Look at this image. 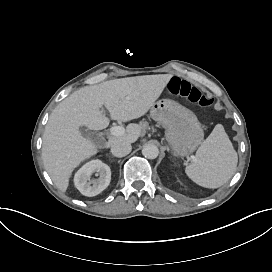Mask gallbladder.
<instances>
[{"label": "gallbladder", "mask_w": 272, "mask_h": 272, "mask_svg": "<svg viewBox=\"0 0 272 272\" xmlns=\"http://www.w3.org/2000/svg\"><path fill=\"white\" fill-rule=\"evenodd\" d=\"M87 136L91 139H94L96 141H99V137L97 135H95L94 133H89L87 134Z\"/></svg>", "instance_id": "gallbladder-1"}]
</instances>
